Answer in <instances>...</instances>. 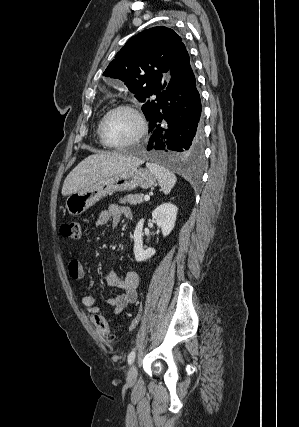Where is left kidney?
<instances>
[{"label": "left kidney", "instance_id": "1", "mask_svg": "<svg viewBox=\"0 0 299 427\" xmlns=\"http://www.w3.org/2000/svg\"><path fill=\"white\" fill-rule=\"evenodd\" d=\"M178 208L171 203H164L158 206L152 212V218L155 220L157 225L161 228L162 234L164 237L168 236L174 228L176 217H177ZM144 219H141L134 231V256L137 262L145 261L151 258L156 250L154 248H148L144 250L143 248V231Z\"/></svg>", "mask_w": 299, "mask_h": 427}]
</instances>
